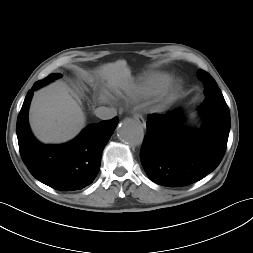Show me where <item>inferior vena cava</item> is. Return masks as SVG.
I'll return each instance as SVG.
<instances>
[{
	"label": "inferior vena cava",
	"instance_id": "obj_1",
	"mask_svg": "<svg viewBox=\"0 0 253 253\" xmlns=\"http://www.w3.org/2000/svg\"><path fill=\"white\" fill-rule=\"evenodd\" d=\"M94 113L98 118L102 120L112 119L117 115V111L115 108H108L104 106L95 109Z\"/></svg>",
	"mask_w": 253,
	"mask_h": 253
}]
</instances>
